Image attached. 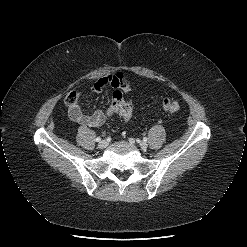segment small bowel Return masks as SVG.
<instances>
[{"label":"small bowel","instance_id":"1","mask_svg":"<svg viewBox=\"0 0 247 247\" xmlns=\"http://www.w3.org/2000/svg\"><path fill=\"white\" fill-rule=\"evenodd\" d=\"M106 86L121 89L125 93L131 91V82L123 72L99 78L93 86V91L100 92ZM68 113L71 120L88 127H99L106 120V114L103 111L97 110L92 114H86L77 104L70 106Z\"/></svg>","mask_w":247,"mask_h":247}]
</instances>
